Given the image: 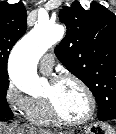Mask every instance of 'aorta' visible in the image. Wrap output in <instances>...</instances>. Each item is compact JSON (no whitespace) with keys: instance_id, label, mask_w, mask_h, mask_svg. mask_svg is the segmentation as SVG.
<instances>
[{"instance_id":"762f6f07","label":"aorta","mask_w":116,"mask_h":134,"mask_svg":"<svg viewBox=\"0 0 116 134\" xmlns=\"http://www.w3.org/2000/svg\"><path fill=\"white\" fill-rule=\"evenodd\" d=\"M64 35V28L49 22H38L13 48L9 59V76L21 91L34 95L46 81L37 74L40 57Z\"/></svg>"}]
</instances>
